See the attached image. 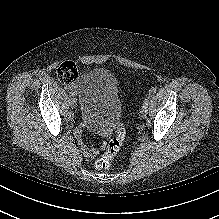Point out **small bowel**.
I'll return each instance as SVG.
<instances>
[{
	"mask_svg": "<svg viewBox=\"0 0 219 219\" xmlns=\"http://www.w3.org/2000/svg\"><path fill=\"white\" fill-rule=\"evenodd\" d=\"M101 135H102L103 137H108V136H109V132H108V131L102 132ZM102 147H103V145H101L99 148L83 146V147H82V150H83V153H84L87 157L92 158V157H95V156L99 153V151H100V149H101Z\"/></svg>",
	"mask_w": 219,
	"mask_h": 219,
	"instance_id": "c3829d8e",
	"label": "small bowel"
}]
</instances>
